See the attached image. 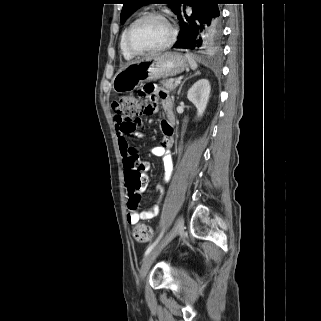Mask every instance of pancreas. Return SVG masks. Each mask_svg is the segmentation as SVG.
Returning <instances> with one entry per match:
<instances>
[{"label":"pancreas","mask_w":321,"mask_h":321,"mask_svg":"<svg viewBox=\"0 0 321 321\" xmlns=\"http://www.w3.org/2000/svg\"><path fill=\"white\" fill-rule=\"evenodd\" d=\"M174 79H166L161 82V84L169 91H174L177 85L174 83Z\"/></svg>","instance_id":"1"}]
</instances>
